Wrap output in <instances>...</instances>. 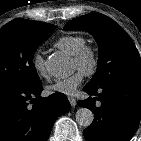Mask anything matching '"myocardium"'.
Listing matches in <instances>:
<instances>
[{"label": "myocardium", "mask_w": 141, "mask_h": 141, "mask_svg": "<svg viewBox=\"0 0 141 141\" xmlns=\"http://www.w3.org/2000/svg\"><path fill=\"white\" fill-rule=\"evenodd\" d=\"M74 61L79 66V71L85 76L93 75L99 65V56L97 50L90 45H84L75 55Z\"/></svg>", "instance_id": "1"}]
</instances>
